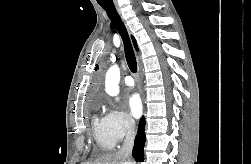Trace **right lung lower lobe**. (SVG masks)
<instances>
[{"label":"right lung lower lobe","instance_id":"98d812e1","mask_svg":"<svg viewBox=\"0 0 251 164\" xmlns=\"http://www.w3.org/2000/svg\"><path fill=\"white\" fill-rule=\"evenodd\" d=\"M144 126L145 121L144 118H142L139 124L138 133L135 138V144L132 152V156L137 162H143L144 159V143L146 140Z\"/></svg>","mask_w":251,"mask_h":164}]
</instances>
